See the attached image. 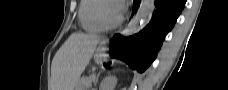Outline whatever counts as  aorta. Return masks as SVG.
Returning a JSON list of instances; mask_svg holds the SVG:
<instances>
[{"label": "aorta", "instance_id": "aorta-1", "mask_svg": "<svg viewBox=\"0 0 228 90\" xmlns=\"http://www.w3.org/2000/svg\"><path fill=\"white\" fill-rule=\"evenodd\" d=\"M154 9V0H142L136 14L122 31V35L127 37L136 33L139 27L152 15Z\"/></svg>", "mask_w": 228, "mask_h": 90}]
</instances>
